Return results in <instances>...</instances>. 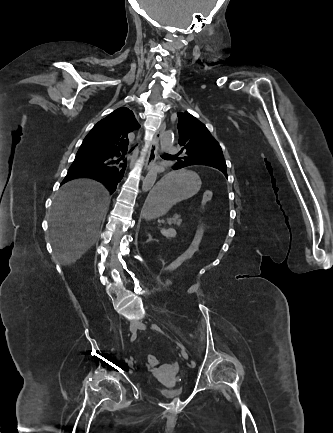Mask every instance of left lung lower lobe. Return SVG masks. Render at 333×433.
Instances as JSON below:
<instances>
[{
  "label": "left lung lower lobe",
  "mask_w": 333,
  "mask_h": 433,
  "mask_svg": "<svg viewBox=\"0 0 333 433\" xmlns=\"http://www.w3.org/2000/svg\"><path fill=\"white\" fill-rule=\"evenodd\" d=\"M155 207V201L151 198H148L146 200L145 206H144V213L145 215H148Z\"/></svg>",
  "instance_id": "0a47b994"
}]
</instances>
